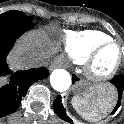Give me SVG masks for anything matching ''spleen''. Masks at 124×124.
Here are the masks:
<instances>
[{
  "instance_id": "1",
  "label": "spleen",
  "mask_w": 124,
  "mask_h": 124,
  "mask_svg": "<svg viewBox=\"0 0 124 124\" xmlns=\"http://www.w3.org/2000/svg\"><path fill=\"white\" fill-rule=\"evenodd\" d=\"M112 104V99L107 95H98L97 97L74 96L72 98V105L75 110L88 121L100 120L107 114Z\"/></svg>"
}]
</instances>
